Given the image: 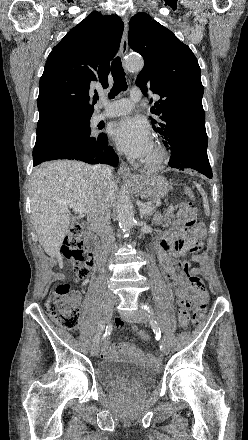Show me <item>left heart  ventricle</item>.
Instances as JSON below:
<instances>
[{
    "mask_svg": "<svg viewBox=\"0 0 248 440\" xmlns=\"http://www.w3.org/2000/svg\"><path fill=\"white\" fill-rule=\"evenodd\" d=\"M153 155H154V151H153V147H152V149L150 150V152L148 153V155L146 156L145 159L151 158Z\"/></svg>",
    "mask_w": 248,
    "mask_h": 440,
    "instance_id": "b2bd125f",
    "label": "left heart ventricle"
}]
</instances>
